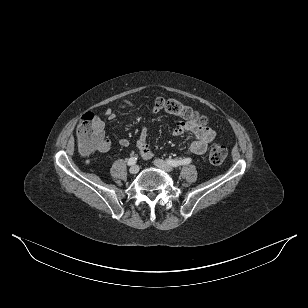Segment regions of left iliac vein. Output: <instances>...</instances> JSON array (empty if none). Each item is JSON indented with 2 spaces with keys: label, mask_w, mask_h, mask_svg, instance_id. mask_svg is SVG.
<instances>
[{
  "label": "left iliac vein",
  "mask_w": 308,
  "mask_h": 308,
  "mask_svg": "<svg viewBox=\"0 0 308 308\" xmlns=\"http://www.w3.org/2000/svg\"><path fill=\"white\" fill-rule=\"evenodd\" d=\"M154 165L166 172H171L173 171V167L169 165L167 162L161 160V159H155L154 160Z\"/></svg>",
  "instance_id": "1"
}]
</instances>
